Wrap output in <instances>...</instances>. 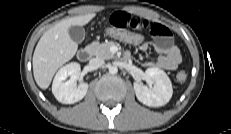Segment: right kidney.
<instances>
[{
	"label": "right kidney",
	"mask_w": 231,
	"mask_h": 134,
	"mask_svg": "<svg viewBox=\"0 0 231 134\" xmlns=\"http://www.w3.org/2000/svg\"><path fill=\"white\" fill-rule=\"evenodd\" d=\"M81 67L73 62L63 66L55 75L52 84V93L63 104H73L84 98L88 90L87 83L76 85L79 79ZM70 76L68 81L66 78Z\"/></svg>",
	"instance_id": "right-kidney-1"
}]
</instances>
